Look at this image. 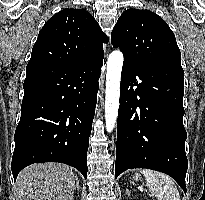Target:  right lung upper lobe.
<instances>
[{"mask_svg":"<svg viewBox=\"0 0 205 200\" xmlns=\"http://www.w3.org/2000/svg\"><path fill=\"white\" fill-rule=\"evenodd\" d=\"M108 38L94 17L85 9H63L40 30L32 48V64H77L104 56Z\"/></svg>","mask_w":205,"mask_h":200,"instance_id":"cb5924a9","label":"right lung upper lobe"}]
</instances>
